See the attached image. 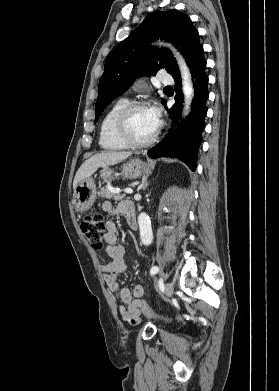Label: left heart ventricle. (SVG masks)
Returning a JSON list of instances; mask_svg holds the SVG:
<instances>
[{"mask_svg":"<svg viewBox=\"0 0 279 391\" xmlns=\"http://www.w3.org/2000/svg\"><path fill=\"white\" fill-rule=\"evenodd\" d=\"M158 123L152 117L149 108L135 110L129 118V130L136 140L149 138L156 130Z\"/></svg>","mask_w":279,"mask_h":391,"instance_id":"obj_1","label":"left heart ventricle"}]
</instances>
